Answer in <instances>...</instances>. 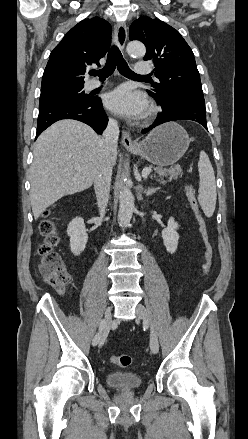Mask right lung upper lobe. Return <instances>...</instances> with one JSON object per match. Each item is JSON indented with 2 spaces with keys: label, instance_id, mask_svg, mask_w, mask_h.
I'll use <instances>...</instances> for the list:
<instances>
[{
  "label": "right lung upper lobe",
  "instance_id": "1",
  "mask_svg": "<svg viewBox=\"0 0 248 439\" xmlns=\"http://www.w3.org/2000/svg\"><path fill=\"white\" fill-rule=\"evenodd\" d=\"M111 25L104 19H85L67 32L53 49L42 77L41 96L83 87V74L106 54Z\"/></svg>",
  "mask_w": 248,
  "mask_h": 439
}]
</instances>
